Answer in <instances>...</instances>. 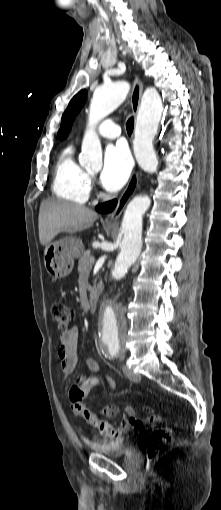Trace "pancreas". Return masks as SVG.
Segmentation results:
<instances>
[{
  "mask_svg": "<svg viewBox=\"0 0 221 510\" xmlns=\"http://www.w3.org/2000/svg\"><path fill=\"white\" fill-rule=\"evenodd\" d=\"M91 253L90 250L85 251L79 259L78 262V270L81 272L84 269L87 271H90L92 268L93 263L90 262Z\"/></svg>",
  "mask_w": 221,
  "mask_h": 510,
  "instance_id": "cf45deb5",
  "label": "pancreas"
}]
</instances>
